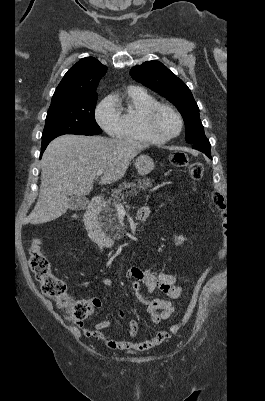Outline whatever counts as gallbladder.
<instances>
[{
  "mask_svg": "<svg viewBox=\"0 0 265 401\" xmlns=\"http://www.w3.org/2000/svg\"><path fill=\"white\" fill-rule=\"evenodd\" d=\"M68 198V209H70V211H85L87 205H89V198H86V196H74V194H71Z\"/></svg>",
  "mask_w": 265,
  "mask_h": 401,
  "instance_id": "bac80fb5",
  "label": "gallbladder"
}]
</instances>
